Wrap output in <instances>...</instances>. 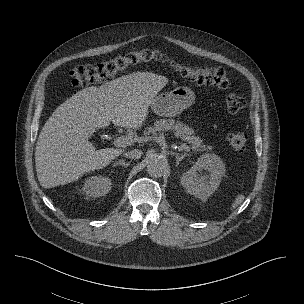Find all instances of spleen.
<instances>
[{
	"label": "spleen",
	"mask_w": 304,
	"mask_h": 304,
	"mask_svg": "<svg viewBox=\"0 0 304 304\" xmlns=\"http://www.w3.org/2000/svg\"><path fill=\"white\" fill-rule=\"evenodd\" d=\"M245 199V196L243 194L238 195L234 202L231 204V210L237 208Z\"/></svg>",
	"instance_id": "obj_1"
}]
</instances>
